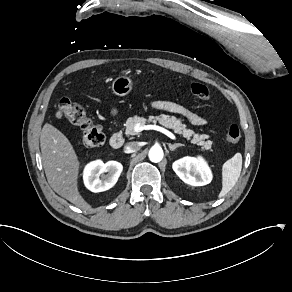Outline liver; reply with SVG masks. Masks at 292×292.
<instances>
[{
    "label": "liver",
    "instance_id": "1",
    "mask_svg": "<svg viewBox=\"0 0 292 292\" xmlns=\"http://www.w3.org/2000/svg\"><path fill=\"white\" fill-rule=\"evenodd\" d=\"M40 147L43 168L52 189L78 208L91 210V206L78 192L79 162L66 136L47 123L40 134Z\"/></svg>",
    "mask_w": 292,
    "mask_h": 292
}]
</instances>
